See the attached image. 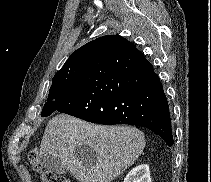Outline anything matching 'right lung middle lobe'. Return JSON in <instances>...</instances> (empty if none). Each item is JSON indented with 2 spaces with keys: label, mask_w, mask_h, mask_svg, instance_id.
Masks as SVG:
<instances>
[{
  "label": "right lung middle lobe",
  "mask_w": 211,
  "mask_h": 182,
  "mask_svg": "<svg viewBox=\"0 0 211 182\" xmlns=\"http://www.w3.org/2000/svg\"><path fill=\"white\" fill-rule=\"evenodd\" d=\"M86 65L79 64L73 67L61 69L52 79L47 102L45 103L41 116H49L54 112L55 102L69 96L78 86L85 71Z\"/></svg>",
  "instance_id": "obj_1"
}]
</instances>
